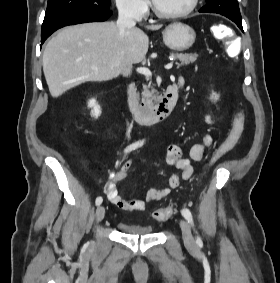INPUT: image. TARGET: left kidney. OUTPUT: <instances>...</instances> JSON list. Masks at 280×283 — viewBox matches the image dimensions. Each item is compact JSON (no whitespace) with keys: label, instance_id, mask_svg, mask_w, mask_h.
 I'll list each match as a JSON object with an SVG mask.
<instances>
[{"label":"left kidney","instance_id":"5707ae66","mask_svg":"<svg viewBox=\"0 0 280 283\" xmlns=\"http://www.w3.org/2000/svg\"><path fill=\"white\" fill-rule=\"evenodd\" d=\"M210 99L214 100V101H217L219 99V95L214 93V92H212Z\"/></svg>","mask_w":280,"mask_h":283}]
</instances>
